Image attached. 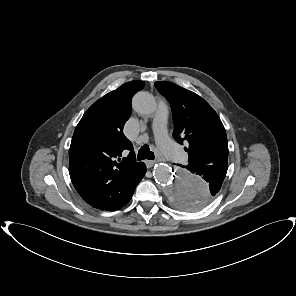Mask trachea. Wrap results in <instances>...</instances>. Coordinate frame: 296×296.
Masks as SVG:
<instances>
[{"label":"trachea","instance_id":"1","mask_svg":"<svg viewBox=\"0 0 296 296\" xmlns=\"http://www.w3.org/2000/svg\"><path fill=\"white\" fill-rule=\"evenodd\" d=\"M155 158L154 153L152 151H150V148L148 145H143L139 151H138V155H137V160H144V159H148V160H153Z\"/></svg>","mask_w":296,"mask_h":296}]
</instances>
